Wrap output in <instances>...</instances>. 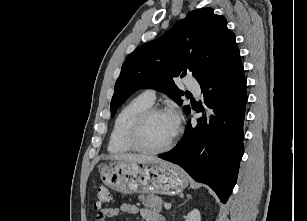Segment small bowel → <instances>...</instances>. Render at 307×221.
I'll return each instance as SVG.
<instances>
[{
  "mask_svg": "<svg viewBox=\"0 0 307 221\" xmlns=\"http://www.w3.org/2000/svg\"><path fill=\"white\" fill-rule=\"evenodd\" d=\"M121 213H126L128 215L139 214L144 221H165L164 217L158 211L148 208H138L136 205L132 204H121L119 206L101 209L95 221H105L107 218L116 217Z\"/></svg>",
  "mask_w": 307,
  "mask_h": 221,
  "instance_id": "obj_1",
  "label": "small bowel"
}]
</instances>
